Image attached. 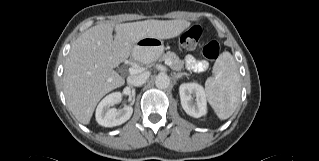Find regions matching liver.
Here are the masks:
<instances>
[{"instance_id": "6515ba94", "label": "liver", "mask_w": 319, "mask_h": 161, "mask_svg": "<svg viewBox=\"0 0 319 161\" xmlns=\"http://www.w3.org/2000/svg\"><path fill=\"white\" fill-rule=\"evenodd\" d=\"M190 24L186 20H145L116 25L105 22L86 30L73 42L64 65V94L75 118L89 124L100 99L124 85L125 80L113 69L133 53L140 39L174 38Z\"/></svg>"}]
</instances>
